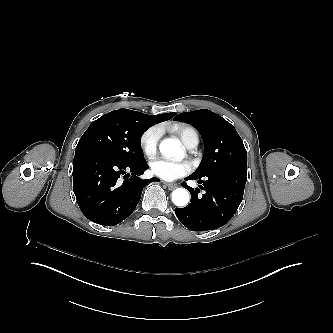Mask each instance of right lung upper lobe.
Returning <instances> with one entry per match:
<instances>
[{
    "label": "right lung upper lobe",
    "instance_id": "obj_1",
    "mask_svg": "<svg viewBox=\"0 0 333 333\" xmlns=\"http://www.w3.org/2000/svg\"><path fill=\"white\" fill-rule=\"evenodd\" d=\"M128 110V109H125ZM136 113H138L142 118H144L151 126L166 120L171 119L174 115H176V113H163L160 115H147V114H143L137 111H134Z\"/></svg>",
    "mask_w": 333,
    "mask_h": 333
}]
</instances>
